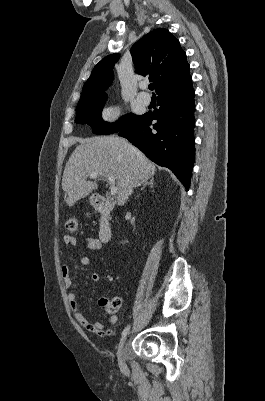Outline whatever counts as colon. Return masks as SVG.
<instances>
[{
	"mask_svg": "<svg viewBox=\"0 0 265 401\" xmlns=\"http://www.w3.org/2000/svg\"><path fill=\"white\" fill-rule=\"evenodd\" d=\"M78 223L76 218L70 217L65 225L67 232L73 233L77 230ZM100 305L109 313H116L120 309L121 301L118 298L102 299Z\"/></svg>",
	"mask_w": 265,
	"mask_h": 401,
	"instance_id": "5ec220e1",
	"label": "colon"
}]
</instances>
